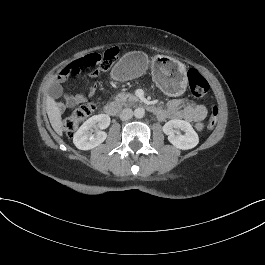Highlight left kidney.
<instances>
[{"mask_svg": "<svg viewBox=\"0 0 265 265\" xmlns=\"http://www.w3.org/2000/svg\"><path fill=\"white\" fill-rule=\"evenodd\" d=\"M178 129L185 132L184 135L178 133ZM163 132L168 135V140L176 148L187 150L194 148L199 143L198 134L191 124L184 120H170L163 126Z\"/></svg>", "mask_w": 265, "mask_h": 265, "instance_id": "obj_1", "label": "left kidney"}]
</instances>
